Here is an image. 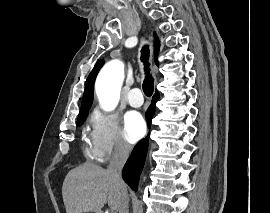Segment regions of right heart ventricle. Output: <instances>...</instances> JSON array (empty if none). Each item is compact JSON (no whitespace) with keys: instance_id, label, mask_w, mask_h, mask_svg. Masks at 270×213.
<instances>
[{"instance_id":"e07e8e85","label":"right heart ventricle","mask_w":270,"mask_h":213,"mask_svg":"<svg viewBox=\"0 0 270 213\" xmlns=\"http://www.w3.org/2000/svg\"><path fill=\"white\" fill-rule=\"evenodd\" d=\"M83 152L88 159H97L92 143V132L88 128L83 132Z\"/></svg>"}]
</instances>
